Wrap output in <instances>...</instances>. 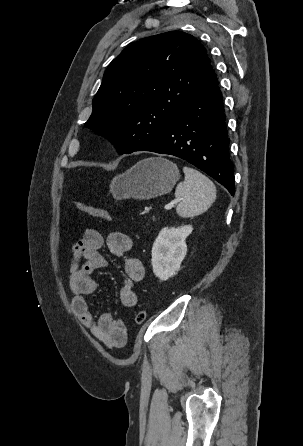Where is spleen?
<instances>
[{"mask_svg":"<svg viewBox=\"0 0 303 446\" xmlns=\"http://www.w3.org/2000/svg\"><path fill=\"white\" fill-rule=\"evenodd\" d=\"M183 172L185 179L175 190V197L182 200L176 211L183 218L198 216L215 201L216 187L208 177L194 168L185 166Z\"/></svg>","mask_w":303,"mask_h":446,"instance_id":"spleen-1","label":"spleen"}]
</instances>
